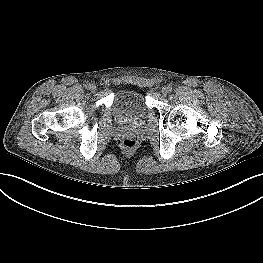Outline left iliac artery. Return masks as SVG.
Wrapping results in <instances>:
<instances>
[{
	"mask_svg": "<svg viewBox=\"0 0 263 263\" xmlns=\"http://www.w3.org/2000/svg\"><path fill=\"white\" fill-rule=\"evenodd\" d=\"M167 89H168L169 92H171V91H172V86L169 85V86L167 87Z\"/></svg>",
	"mask_w": 263,
	"mask_h": 263,
	"instance_id": "left-iliac-artery-1",
	"label": "left iliac artery"
}]
</instances>
